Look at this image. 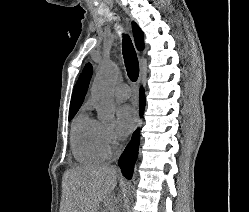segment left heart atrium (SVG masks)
Returning a JSON list of instances; mask_svg holds the SVG:
<instances>
[{
  "label": "left heart atrium",
  "instance_id": "1",
  "mask_svg": "<svg viewBox=\"0 0 249 212\" xmlns=\"http://www.w3.org/2000/svg\"><path fill=\"white\" fill-rule=\"evenodd\" d=\"M136 123V113L129 105L120 106L115 113V133L118 138L127 136Z\"/></svg>",
  "mask_w": 249,
  "mask_h": 212
}]
</instances>
